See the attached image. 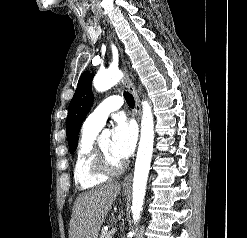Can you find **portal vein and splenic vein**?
Masks as SVG:
<instances>
[{"label": "portal vein and splenic vein", "mask_w": 247, "mask_h": 238, "mask_svg": "<svg viewBox=\"0 0 247 238\" xmlns=\"http://www.w3.org/2000/svg\"><path fill=\"white\" fill-rule=\"evenodd\" d=\"M116 231H117V228H116V227H113V228L111 229V233H112V234H115Z\"/></svg>", "instance_id": "1"}]
</instances>
